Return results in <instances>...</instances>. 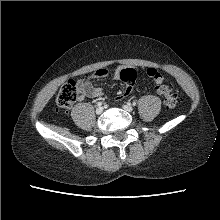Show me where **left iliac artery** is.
Listing matches in <instances>:
<instances>
[{"label": "left iliac artery", "instance_id": "left-iliac-artery-1", "mask_svg": "<svg viewBox=\"0 0 220 220\" xmlns=\"http://www.w3.org/2000/svg\"><path fill=\"white\" fill-rule=\"evenodd\" d=\"M136 104H137V103L134 101V102H133V106H136Z\"/></svg>", "mask_w": 220, "mask_h": 220}]
</instances>
